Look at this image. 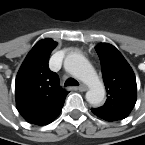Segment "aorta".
Masks as SVG:
<instances>
[{
	"instance_id": "obj_1",
	"label": "aorta",
	"mask_w": 145,
	"mask_h": 145,
	"mask_svg": "<svg viewBox=\"0 0 145 145\" xmlns=\"http://www.w3.org/2000/svg\"><path fill=\"white\" fill-rule=\"evenodd\" d=\"M65 67L73 76L88 85L86 100L92 106H99L105 97V88L91 64L82 55L73 53L66 57Z\"/></svg>"
}]
</instances>
